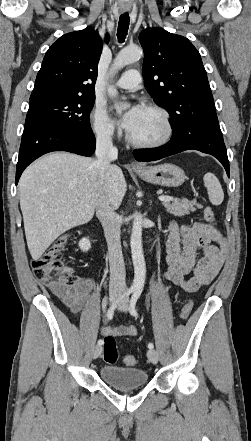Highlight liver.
I'll list each match as a JSON object with an SVG mask.
<instances>
[{"mask_svg":"<svg viewBox=\"0 0 251 441\" xmlns=\"http://www.w3.org/2000/svg\"><path fill=\"white\" fill-rule=\"evenodd\" d=\"M126 187L118 166L111 165L101 181L96 160L72 153H50L27 167L19 192L32 258L38 260L61 234L89 222L101 191L118 207Z\"/></svg>","mask_w":251,"mask_h":441,"instance_id":"1","label":"liver"}]
</instances>
